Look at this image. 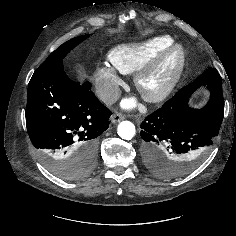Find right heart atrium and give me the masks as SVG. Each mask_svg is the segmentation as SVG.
<instances>
[{
  "label": "right heart atrium",
  "instance_id": "right-heart-atrium-1",
  "mask_svg": "<svg viewBox=\"0 0 236 236\" xmlns=\"http://www.w3.org/2000/svg\"><path fill=\"white\" fill-rule=\"evenodd\" d=\"M93 81L96 93L102 102L111 104L118 98L121 79L113 66L98 67L95 70Z\"/></svg>",
  "mask_w": 236,
  "mask_h": 236
}]
</instances>
